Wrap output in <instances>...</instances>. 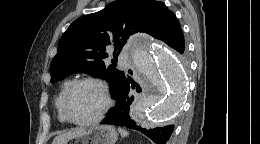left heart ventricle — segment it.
<instances>
[{"mask_svg":"<svg viewBox=\"0 0 260 144\" xmlns=\"http://www.w3.org/2000/svg\"><path fill=\"white\" fill-rule=\"evenodd\" d=\"M102 107L99 90L91 84L79 85L71 94L67 110L72 119L77 121L93 118Z\"/></svg>","mask_w":260,"mask_h":144,"instance_id":"left-heart-ventricle-1","label":"left heart ventricle"}]
</instances>
